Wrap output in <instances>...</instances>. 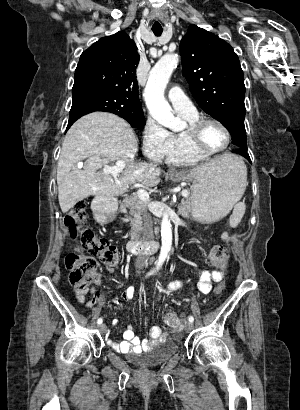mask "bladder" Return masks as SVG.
<instances>
[{"label":"bladder","instance_id":"31cf9c89","mask_svg":"<svg viewBox=\"0 0 300 410\" xmlns=\"http://www.w3.org/2000/svg\"><path fill=\"white\" fill-rule=\"evenodd\" d=\"M178 346L175 342L166 341L157 343L145 354H128L127 359L132 364L139 367L158 366L168 361L172 356L178 353Z\"/></svg>","mask_w":300,"mask_h":410}]
</instances>
